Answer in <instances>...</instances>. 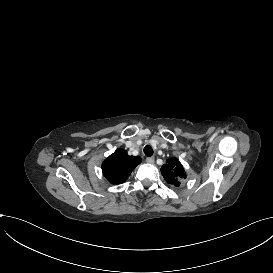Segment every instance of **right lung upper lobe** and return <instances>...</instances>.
Listing matches in <instances>:
<instances>
[{
  "label": "right lung upper lobe",
  "mask_w": 273,
  "mask_h": 273,
  "mask_svg": "<svg viewBox=\"0 0 273 273\" xmlns=\"http://www.w3.org/2000/svg\"><path fill=\"white\" fill-rule=\"evenodd\" d=\"M140 162L139 157L129 156L126 151L118 149L103 162L102 171L110 183L120 184Z\"/></svg>",
  "instance_id": "right-lung-upper-lobe-1"
}]
</instances>
